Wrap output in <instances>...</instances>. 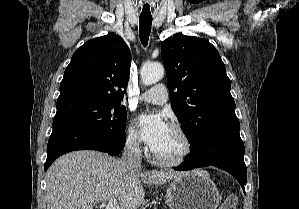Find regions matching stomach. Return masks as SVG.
I'll list each match as a JSON object with an SVG mask.
<instances>
[{
  "instance_id": "0dacf381",
  "label": "stomach",
  "mask_w": 299,
  "mask_h": 209,
  "mask_svg": "<svg viewBox=\"0 0 299 209\" xmlns=\"http://www.w3.org/2000/svg\"><path fill=\"white\" fill-rule=\"evenodd\" d=\"M170 209H217L220 195L208 172H185L170 183L166 191Z\"/></svg>"
}]
</instances>
